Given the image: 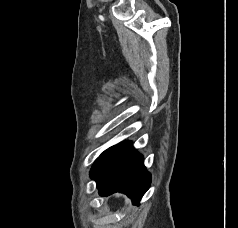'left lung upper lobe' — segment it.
Segmentation results:
<instances>
[{"label": "left lung upper lobe", "instance_id": "1", "mask_svg": "<svg viewBox=\"0 0 238 228\" xmlns=\"http://www.w3.org/2000/svg\"><path fill=\"white\" fill-rule=\"evenodd\" d=\"M105 153H106V151L103 152V153L100 155V157L95 161V163H94L93 166H92V169H91L90 174H93V173L95 172V170L97 169L98 165L101 163V161H102V159H103Z\"/></svg>", "mask_w": 238, "mask_h": 228}]
</instances>
